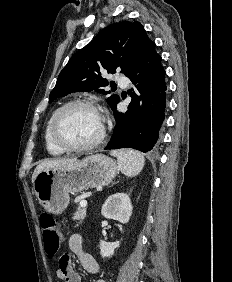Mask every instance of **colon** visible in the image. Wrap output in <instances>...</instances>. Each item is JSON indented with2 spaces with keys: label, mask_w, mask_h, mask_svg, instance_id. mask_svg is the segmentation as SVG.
I'll use <instances>...</instances> for the list:
<instances>
[{
  "label": "colon",
  "mask_w": 232,
  "mask_h": 282,
  "mask_svg": "<svg viewBox=\"0 0 232 282\" xmlns=\"http://www.w3.org/2000/svg\"><path fill=\"white\" fill-rule=\"evenodd\" d=\"M40 225L42 228L45 252L48 256L54 257L58 253L61 245L60 228L54 217L48 213H42L40 215Z\"/></svg>",
  "instance_id": "1"
}]
</instances>
